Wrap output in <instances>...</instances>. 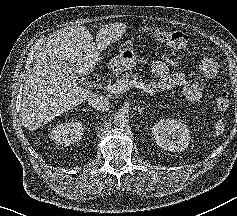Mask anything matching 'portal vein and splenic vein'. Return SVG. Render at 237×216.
Instances as JSON below:
<instances>
[{"mask_svg":"<svg viewBox=\"0 0 237 216\" xmlns=\"http://www.w3.org/2000/svg\"><path fill=\"white\" fill-rule=\"evenodd\" d=\"M127 88H129L128 83L117 82L113 85H110V92L121 93L122 91L126 90Z\"/></svg>","mask_w":237,"mask_h":216,"instance_id":"18ae733b","label":"portal vein and splenic vein"}]
</instances>
